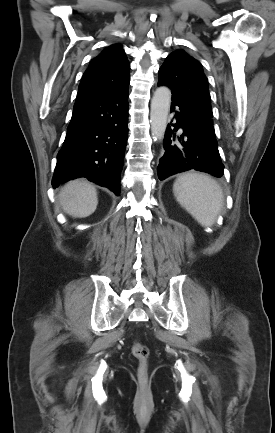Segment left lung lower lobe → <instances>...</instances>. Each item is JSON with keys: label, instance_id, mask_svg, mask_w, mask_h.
<instances>
[{"label": "left lung lower lobe", "instance_id": "0a47b994", "mask_svg": "<svg viewBox=\"0 0 275 433\" xmlns=\"http://www.w3.org/2000/svg\"><path fill=\"white\" fill-rule=\"evenodd\" d=\"M171 112H175L173 119L176 123L166 128L163 141L165 151L157 167L159 179L164 180L173 174L191 169L222 177L224 165L218 151L214 128L200 121L191 106L174 92ZM179 128L183 129L182 135L176 133Z\"/></svg>", "mask_w": 275, "mask_h": 433}]
</instances>
